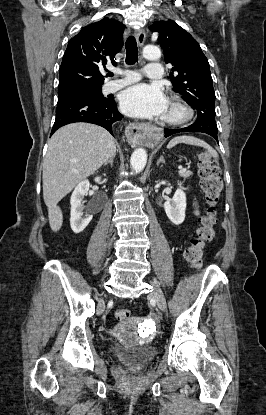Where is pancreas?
Masks as SVG:
<instances>
[{
  "label": "pancreas",
  "mask_w": 266,
  "mask_h": 415,
  "mask_svg": "<svg viewBox=\"0 0 266 415\" xmlns=\"http://www.w3.org/2000/svg\"><path fill=\"white\" fill-rule=\"evenodd\" d=\"M180 177H182L184 180L188 179L191 175L192 172L191 171H185L184 173H179Z\"/></svg>",
  "instance_id": "1"
}]
</instances>
